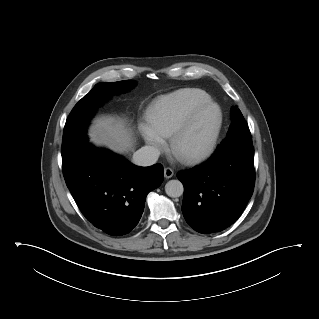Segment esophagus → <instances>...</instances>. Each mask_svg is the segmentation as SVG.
Segmentation results:
<instances>
[{
    "mask_svg": "<svg viewBox=\"0 0 319 319\" xmlns=\"http://www.w3.org/2000/svg\"><path fill=\"white\" fill-rule=\"evenodd\" d=\"M173 175H174V171H173L171 168L167 167V168L164 169V176H165V178L169 179V178H171Z\"/></svg>",
    "mask_w": 319,
    "mask_h": 319,
    "instance_id": "esophagus-1",
    "label": "esophagus"
}]
</instances>
